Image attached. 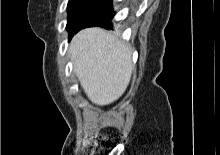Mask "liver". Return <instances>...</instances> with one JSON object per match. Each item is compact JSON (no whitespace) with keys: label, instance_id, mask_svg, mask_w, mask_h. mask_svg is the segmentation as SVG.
Segmentation results:
<instances>
[{"label":"liver","instance_id":"liver-1","mask_svg":"<svg viewBox=\"0 0 220 155\" xmlns=\"http://www.w3.org/2000/svg\"><path fill=\"white\" fill-rule=\"evenodd\" d=\"M69 55L92 103L109 105L123 95L133 70L130 46L104 29L87 28L74 36Z\"/></svg>","mask_w":220,"mask_h":155}]
</instances>
